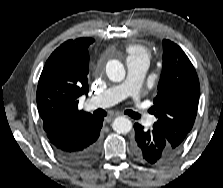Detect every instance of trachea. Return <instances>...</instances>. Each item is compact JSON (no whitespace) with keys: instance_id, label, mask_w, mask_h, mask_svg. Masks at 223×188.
Wrapping results in <instances>:
<instances>
[{"instance_id":"trachea-1","label":"trachea","mask_w":223,"mask_h":188,"mask_svg":"<svg viewBox=\"0 0 223 188\" xmlns=\"http://www.w3.org/2000/svg\"><path fill=\"white\" fill-rule=\"evenodd\" d=\"M127 115H129L130 117H132L133 119H139L140 115L137 114L136 112H133L131 110H128L125 112ZM94 115L97 117H104L107 115V113L104 110L98 109L94 112Z\"/></svg>"}]
</instances>
